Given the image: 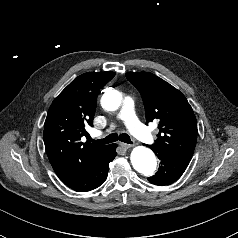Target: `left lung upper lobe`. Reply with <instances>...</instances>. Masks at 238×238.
Segmentation results:
<instances>
[{
	"instance_id": "1",
	"label": "left lung upper lobe",
	"mask_w": 238,
	"mask_h": 238,
	"mask_svg": "<svg viewBox=\"0 0 238 238\" xmlns=\"http://www.w3.org/2000/svg\"><path fill=\"white\" fill-rule=\"evenodd\" d=\"M139 90L148 122L157 121L159 134L153 151L192 158L197 138V121L185 96L172 85L148 73H127Z\"/></svg>"
}]
</instances>
